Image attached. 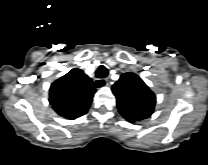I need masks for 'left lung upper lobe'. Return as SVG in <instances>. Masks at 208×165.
Wrapping results in <instances>:
<instances>
[{"instance_id":"obj_1","label":"left lung upper lobe","mask_w":208,"mask_h":165,"mask_svg":"<svg viewBox=\"0 0 208 165\" xmlns=\"http://www.w3.org/2000/svg\"><path fill=\"white\" fill-rule=\"evenodd\" d=\"M120 114L130 123L152 115L156 103L155 94L134 73H124L112 86Z\"/></svg>"}]
</instances>
